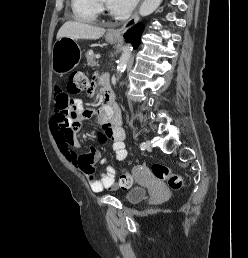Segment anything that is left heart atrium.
<instances>
[{
	"label": "left heart atrium",
	"mask_w": 248,
	"mask_h": 258,
	"mask_svg": "<svg viewBox=\"0 0 248 258\" xmlns=\"http://www.w3.org/2000/svg\"><path fill=\"white\" fill-rule=\"evenodd\" d=\"M138 0H107V6L117 16H126L135 7Z\"/></svg>",
	"instance_id": "left-heart-atrium-1"
}]
</instances>
